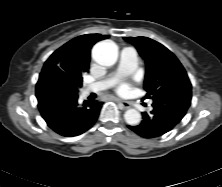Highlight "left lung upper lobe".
I'll return each mask as SVG.
<instances>
[{"label": "left lung upper lobe", "instance_id": "left-lung-upper-lobe-1", "mask_svg": "<svg viewBox=\"0 0 222 187\" xmlns=\"http://www.w3.org/2000/svg\"><path fill=\"white\" fill-rule=\"evenodd\" d=\"M133 44L146 65L144 89L146 98L165 93L191 90L187 73L176 56L159 42L147 37H125Z\"/></svg>", "mask_w": 222, "mask_h": 187}]
</instances>
